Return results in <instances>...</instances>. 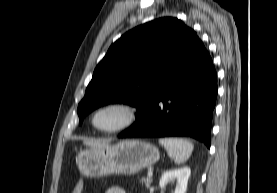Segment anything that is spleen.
<instances>
[{
  "label": "spleen",
  "mask_w": 277,
  "mask_h": 193,
  "mask_svg": "<svg viewBox=\"0 0 277 193\" xmlns=\"http://www.w3.org/2000/svg\"><path fill=\"white\" fill-rule=\"evenodd\" d=\"M159 143L165 147L176 164L188 160L194 148L191 142L182 138H160Z\"/></svg>",
  "instance_id": "1"
}]
</instances>
